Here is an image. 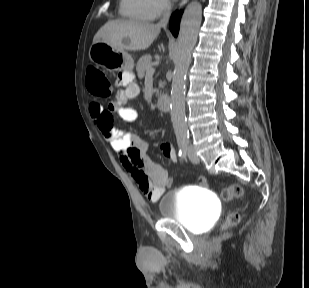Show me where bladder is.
Returning a JSON list of instances; mask_svg holds the SVG:
<instances>
[{"mask_svg":"<svg viewBox=\"0 0 309 288\" xmlns=\"http://www.w3.org/2000/svg\"><path fill=\"white\" fill-rule=\"evenodd\" d=\"M218 206L217 200L203 186L167 191L158 200L162 219H176L195 232L205 231L215 222Z\"/></svg>","mask_w":309,"mask_h":288,"instance_id":"1","label":"bladder"}]
</instances>
